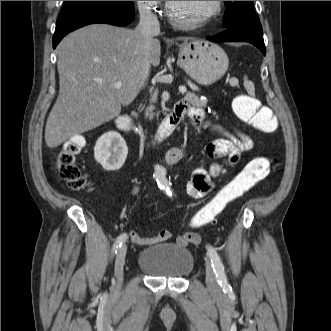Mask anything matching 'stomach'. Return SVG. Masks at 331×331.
Masks as SVG:
<instances>
[{
	"label": "stomach",
	"instance_id": "0dacf381",
	"mask_svg": "<svg viewBox=\"0 0 331 331\" xmlns=\"http://www.w3.org/2000/svg\"><path fill=\"white\" fill-rule=\"evenodd\" d=\"M179 63L196 82L210 85L225 74L229 59L217 44L204 39H193L180 46Z\"/></svg>",
	"mask_w": 331,
	"mask_h": 331
}]
</instances>
